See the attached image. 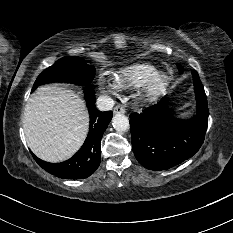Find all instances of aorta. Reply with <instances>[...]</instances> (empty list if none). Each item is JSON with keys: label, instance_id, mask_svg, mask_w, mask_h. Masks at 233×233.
<instances>
[{"label": "aorta", "instance_id": "obj_1", "mask_svg": "<svg viewBox=\"0 0 233 233\" xmlns=\"http://www.w3.org/2000/svg\"><path fill=\"white\" fill-rule=\"evenodd\" d=\"M112 124L114 129L118 132H125L129 129V120L124 114L121 113L114 115Z\"/></svg>", "mask_w": 233, "mask_h": 233}]
</instances>
